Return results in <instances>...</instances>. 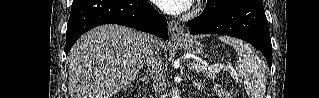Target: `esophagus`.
Returning <instances> with one entry per match:
<instances>
[{
	"label": "esophagus",
	"mask_w": 319,
	"mask_h": 98,
	"mask_svg": "<svg viewBox=\"0 0 319 98\" xmlns=\"http://www.w3.org/2000/svg\"><path fill=\"white\" fill-rule=\"evenodd\" d=\"M168 30H169V33L171 35V40L173 42H180L185 37V32H184L183 27L176 20H172L169 22Z\"/></svg>",
	"instance_id": "1"
}]
</instances>
